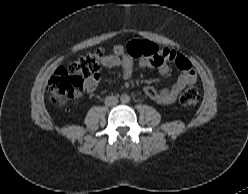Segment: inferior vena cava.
<instances>
[{"mask_svg":"<svg viewBox=\"0 0 248 194\" xmlns=\"http://www.w3.org/2000/svg\"><path fill=\"white\" fill-rule=\"evenodd\" d=\"M118 103V98L115 96H107L105 99V105L114 106Z\"/></svg>","mask_w":248,"mask_h":194,"instance_id":"obj_1","label":"inferior vena cava"}]
</instances>
